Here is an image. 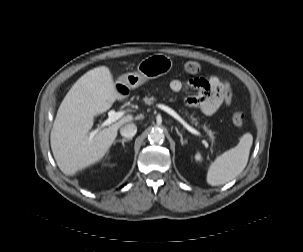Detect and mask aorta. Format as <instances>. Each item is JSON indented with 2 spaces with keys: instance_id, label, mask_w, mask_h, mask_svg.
<instances>
[{
  "instance_id": "762f6f07",
  "label": "aorta",
  "mask_w": 303,
  "mask_h": 252,
  "mask_svg": "<svg viewBox=\"0 0 303 252\" xmlns=\"http://www.w3.org/2000/svg\"><path fill=\"white\" fill-rule=\"evenodd\" d=\"M148 139L151 143H163L165 135L161 129H153L149 133Z\"/></svg>"
}]
</instances>
